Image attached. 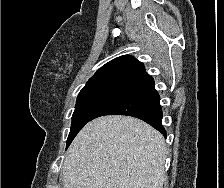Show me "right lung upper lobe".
<instances>
[{
    "mask_svg": "<svg viewBox=\"0 0 224 188\" xmlns=\"http://www.w3.org/2000/svg\"><path fill=\"white\" fill-rule=\"evenodd\" d=\"M145 72L143 63L133 56L124 55L117 57L102 66L88 82L103 79L133 80Z\"/></svg>",
    "mask_w": 224,
    "mask_h": 188,
    "instance_id": "1",
    "label": "right lung upper lobe"
}]
</instances>
